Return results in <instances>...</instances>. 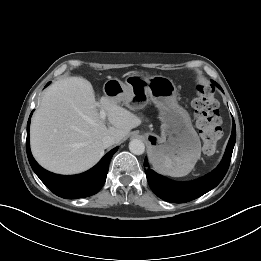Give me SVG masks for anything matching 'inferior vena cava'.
Masks as SVG:
<instances>
[{
    "label": "inferior vena cava",
    "mask_w": 261,
    "mask_h": 261,
    "mask_svg": "<svg viewBox=\"0 0 261 261\" xmlns=\"http://www.w3.org/2000/svg\"><path fill=\"white\" fill-rule=\"evenodd\" d=\"M102 144L105 148L115 144V138L113 136L107 135L102 138Z\"/></svg>",
    "instance_id": "602c4592"
}]
</instances>
